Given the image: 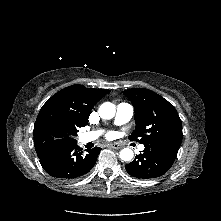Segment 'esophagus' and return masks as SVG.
<instances>
[{
    "label": "esophagus",
    "instance_id": "obj_1",
    "mask_svg": "<svg viewBox=\"0 0 221 221\" xmlns=\"http://www.w3.org/2000/svg\"><path fill=\"white\" fill-rule=\"evenodd\" d=\"M110 148H113V149H120L121 148V145L118 144V143H112L109 145Z\"/></svg>",
    "mask_w": 221,
    "mask_h": 221
}]
</instances>
